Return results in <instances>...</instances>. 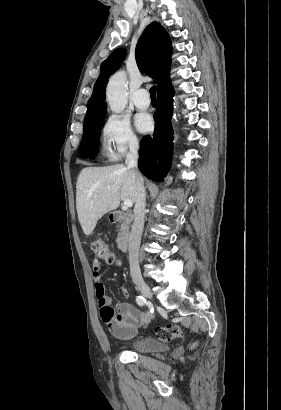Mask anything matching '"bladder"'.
I'll return each mask as SVG.
<instances>
[{
	"label": "bladder",
	"mask_w": 281,
	"mask_h": 410,
	"mask_svg": "<svg viewBox=\"0 0 281 410\" xmlns=\"http://www.w3.org/2000/svg\"><path fill=\"white\" fill-rule=\"evenodd\" d=\"M130 348L136 353H157L167 350V346L164 342L151 337H142L138 339Z\"/></svg>",
	"instance_id": "31cf9c89"
}]
</instances>
